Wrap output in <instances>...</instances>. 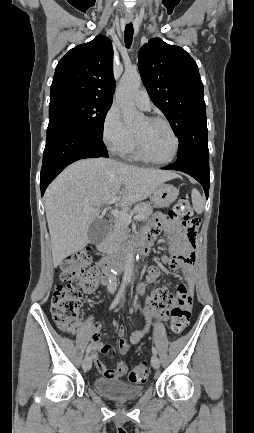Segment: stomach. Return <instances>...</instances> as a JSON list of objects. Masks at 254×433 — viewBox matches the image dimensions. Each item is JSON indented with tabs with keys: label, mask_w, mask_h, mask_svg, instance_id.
Masks as SVG:
<instances>
[{
	"label": "stomach",
	"mask_w": 254,
	"mask_h": 433,
	"mask_svg": "<svg viewBox=\"0 0 254 433\" xmlns=\"http://www.w3.org/2000/svg\"><path fill=\"white\" fill-rule=\"evenodd\" d=\"M178 190L171 184H160L152 194V202L157 208H164L172 204L178 197Z\"/></svg>",
	"instance_id": "obj_1"
}]
</instances>
